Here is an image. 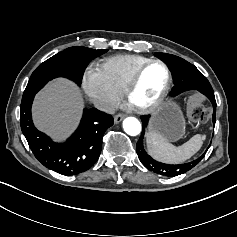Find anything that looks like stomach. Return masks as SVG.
I'll list each match as a JSON object with an SVG mask.
<instances>
[{
	"label": "stomach",
	"mask_w": 237,
	"mask_h": 237,
	"mask_svg": "<svg viewBox=\"0 0 237 237\" xmlns=\"http://www.w3.org/2000/svg\"><path fill=\"white\" fill-rule=\"evenodd\" d=\"M150 130L159 131L168 141L182 138L185 134V121L178 107L172 102H167L156 109Z\"/></svg>",
	"instance_id": "0dacf381"
}]
</instances>
